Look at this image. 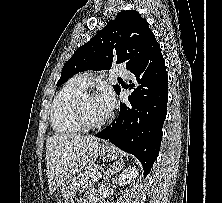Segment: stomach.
Wrapping results in <instances>:
<instances>
[{
    "mask_svg": "<svg viewBox=\"0 0 222 203\" xmlns=\"http://www.w3.org/2000/svg\"><path fill=\"white\" fill-rule=\"evenodd\" d=\"M98 152L102 156H107L108 158L115 159L118 157L119 153L114 146L99 145ZM80 177L78 175L73 176L64 182L62 187V195L64 198L69 199L75 196L76 192L79 190L81 183Z\"/></svg>",
    "mask_w": 222,
    "mask_h": 203,
    "instance_id": "obj_1",
    "label": "stomach"
}]
</instances>
